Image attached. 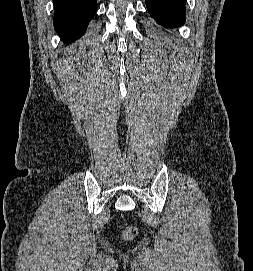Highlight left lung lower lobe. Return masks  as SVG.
I'll return each instance as SVG.
<instances>
[{"label": "left lung lower lobe", "mask_w": 253, "mask_h": 271, "mask_svg": "<svg viewBox=\"0 0 253 271\" xmlns=\"http://www.w3.org/2000/svg\"><path fill=\"white\" fill-rule=\"evenodd\" d=\"M146 6L152 18L162 25L176 27L185 22V0H146Z\"/></svg>", "instance_id": "1"}]
</instances>
